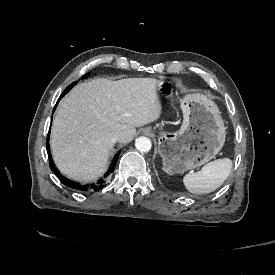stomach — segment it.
<instances>
[{
    "instance_id": "0dacf381",
    "label": "stomach",
    "mask_w": 275,
    "mask_h": 275,
    "mask_svg": "<svg viewBox=\"0 0 275 275\" xmlns=\"http://www.w3.org/2000/svg\"><path fill=\"white\" fill-rule=\"evenodd\" d=\"M159 93L172 94L170 84L160 82ZM183 123L175 132H158V150L162 168L169 174H181L199 168L222 150L226 131L217 105L202 94L187 95L181 102Z\"/></svg>"
}]
</instances>
